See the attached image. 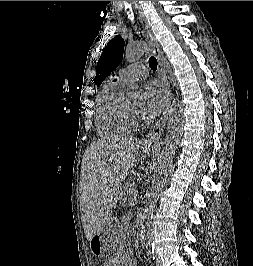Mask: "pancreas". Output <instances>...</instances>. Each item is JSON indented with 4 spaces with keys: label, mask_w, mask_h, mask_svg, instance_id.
Returning <instances> with one entry per match:
<instances>
[{
    "label": "pancreas",
    "mask_w": 253,
    "mask_h": 266,
    "mask_svg": "<svg viewBox=\"0 0 253 266\" xmlns=\"http://www.w3.org/2000/svg\"><path fill=\"white\" fill-rule=\"evenodd\" d=\"M136 197L137 194L132 188V186L126 183L123 186V190L121 192V197H120L121 203H126L128 201L129 205H133L134 203H136Z\"/></svg>",
    "instance_id": "cf45deb5"
}]
</instances>
